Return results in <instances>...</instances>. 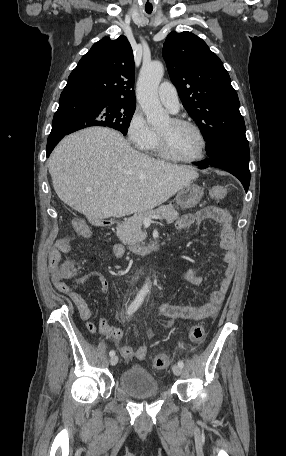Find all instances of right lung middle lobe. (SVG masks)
I'll use <instances>...</instances> for the list:
<instances>
[{
	"label": "right lung middle lobe",
	"instance_id": "1",
	"mask_svg": "<svg viewBox=\"0 0 286 456\" xmlns=\"http://www.w3.org/2000/svg\"><path fill=\"white\" fill-rule=\"evenodd\" d=\"M135 105L111 102L104 98L87 96L76 109L73 132L89 126H107L127 134Z\"/></svg>",
	"mask_w": 286,
	"mask_h": 456
}]
</instances>
